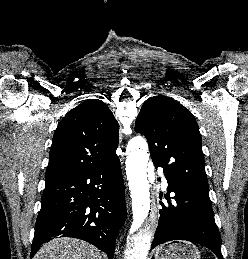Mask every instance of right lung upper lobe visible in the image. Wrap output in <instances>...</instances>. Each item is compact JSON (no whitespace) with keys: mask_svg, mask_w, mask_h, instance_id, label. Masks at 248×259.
I'll use <instances>...</instances> for the list:
<instances>
[{"mask_svg":"<svg viewBox=\"0 0 248 259\" xmlns=\"http://www.w3.org/2000/svg\"><path fill=\"white\" fill-rule=\"evenodd\" d=\"M119 125L108 106L90 99L69 111L53 137L45 178L96 167L116 156Z\"/></svg>","mask_w":248,"mask_h":259,"instance_id":"1","label":"right lung upper lobe"}]
</instances>
